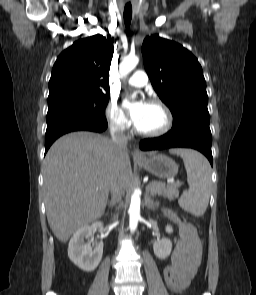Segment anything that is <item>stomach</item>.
Here are the masks:
<instances>
[{
    "label": "stomach",
    "mask_w": 256,
    "mask_h": 295,
    "mask_svg": "<svg viewBox=\"0 0 256 295\" xmlns=\"http://www.w3.org/2000/svg\"><path fill=\"white\" fill-rule=\"evenodd\" d=\"M138 163L160 179L174 178L178 173L176 162L164 154H148V156L139 159Z\"/></svg>",
    "instance_id": "1"
}]
</instances>
